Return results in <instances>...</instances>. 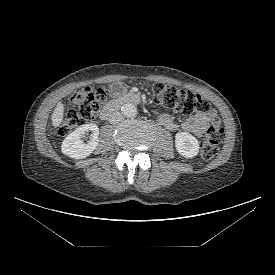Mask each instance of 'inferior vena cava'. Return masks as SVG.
<instances>
[{
  "label": "inferior vena cava",
  "instance_id": "inferior-vena-cava-1",
  "mask_svg": "<svg viewBox=\"0 0 275 275\" xmlns=\"http://www.w3.org/2000/svg\"><path fill=\"white\" fill-rule=\"evenodd\" d=\"M123 119V116L120 112L115 111L109 116L110 124H118Z\"/></svg>",
  "mask_w": 275,
  "mask_h": 275
}]
</instances>
